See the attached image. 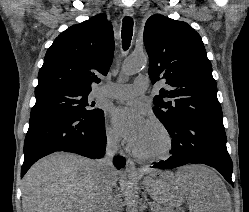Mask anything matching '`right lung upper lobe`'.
I'll return each mask as SVG.
<instances>
[{"mask_svg":"<svg viewBox=\"0 0 249 212\" xmlns=\"http://www.w3.org/2000/svg\"><path fill=\"white\" fill-rule=\"evenodd\" d=\"M113 30L105 15H96L62 32L47 50L35 96L54 91L91 92L107 75L114 54Z\"/></svg>","mask_w":249,"mask_h":212,"instance_id":"1","label":"right lung upper lobe"}]
</instances>
